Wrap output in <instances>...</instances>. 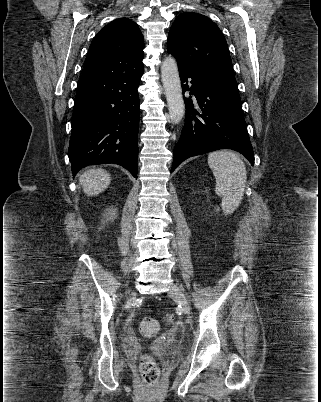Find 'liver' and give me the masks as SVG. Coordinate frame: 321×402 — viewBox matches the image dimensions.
Returning <instances> with one entry per match:
<instances>
[{"mask_svg": "<svg viewBox=\"0 0 321 402\" xmlns=\"http://www.w3.org/2000/svg\"><path fill=\"white\" fill-rule=\"evenodd\" d=\"M79 182L85 194L96 196L109 186L111 178L110 174L104 169H90L80 176Z\"/></svg>", "mask_w": 321, "mask_h": 402, "instance_id": "obj_1", "label": "liver"}]
</instances>
